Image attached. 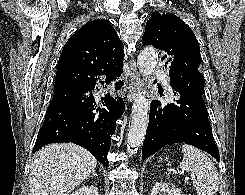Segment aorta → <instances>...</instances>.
I'll list each match as a JSON object with an SVG mask.
<instances>
[{
    "mask_svg": "<svg viewBox=\"0 0 245 195\" xmlns=\"http://www.w3.org/2000/svg\"><path fill=\"white\" fill-rule=\"evenodd\" d=\"M157 64V52L154 47H145L138 56V66L143 77L150 76ZM150 102L145 90L139 91L132 106L131 123L127 136V151L135 155L142 144L149 120Z\"/></svg>",
    "mask_w": 245,
    "mask_h": 195,
    "instance_id": "1",
    "label": "aorta"
}]
</instances>
